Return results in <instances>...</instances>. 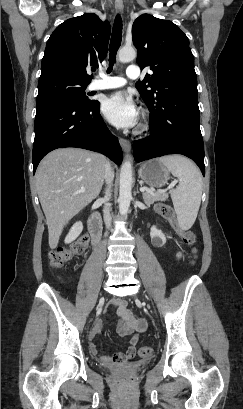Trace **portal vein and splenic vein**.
Returning <instances> with one entry per match:
<instances>
[{"label":"portal vein and splenic vein","instance_id":"obj_1","mask_svg":"<svg viewBox=\"0 0 243 409\" xmlns=\"http://www.w3.org/2000/svg\"><path fill=\"white\" fill-rule=\"evenodd\" d=\"M175 183H176V182L172 183V184H171V187H173V186L175 185ZM147 190H148V189L145 188V187H141V188H140V191H141V192H145V191H147ZM81 192H84V190H81Z\"/></svg>","mask_w":243,"mask_h":409}]
</instances>
